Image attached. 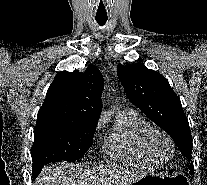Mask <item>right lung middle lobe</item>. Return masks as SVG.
<instances>
[{
    "instance_id": "right-lung-middle-lobe-1",
    "label": "right lung middle lobe",
    "mask_w": 207,
    "mask_h": 185,
    "mask_svg": "<svg viewBox=\"0 0 207 185\" xmlns=\"http://www.w3.org/2000/svg\"><path fill=\"white\" fill-rule=\"evenodd\" d=\"M96 126L68 119L38 118L31 149L33 176L55 161H74L91 147Z\"/></svg>"
}]
</instances>
